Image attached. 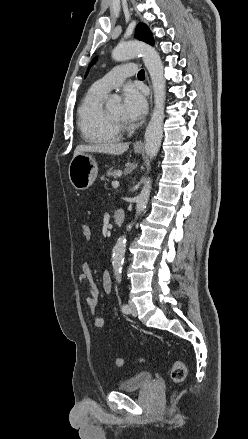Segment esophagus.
<instances>
[{
    "label": "esophagus",
    "instance_id": "1",
    "mask_svg": "<svg viewBox=\"0 0 248 439\" xmlns=\"http://www.w3.org/2000/svg\"><path fill=\"white\" fill-rule=\"evenodd\" d=\"M149 86H150V84H149ZM149 101H150V106L152 107L153 96H152L151 86H150V98H149ZM142 147H143V142H142V140H138V141H136V142L134 143V148H136V149H141Z\"/></svg>",
    "mask_w": 248,
    "mask_h": 439
}]
</instances>
